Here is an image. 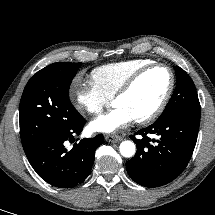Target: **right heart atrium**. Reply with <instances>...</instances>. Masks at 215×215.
I'll use <instances>...</instances> for the list:
<instances>
[{
    "label": "right heart atrium",
    "instance_id": "obj_1",
    "mask_svg": "<svg viewBox=\"0 0 215 215\" xmlns=\"http://www.w3.org/2000/svg\"><path fill=\"white\" fill-rule=\"evenodd\" d=\"M69 97L77 111L88 114H99L110 100L92 81L79 77L72 82Z\"/></svg>",
    "mask_w": 215,
    "mask_h": 215
}]
</instances>
